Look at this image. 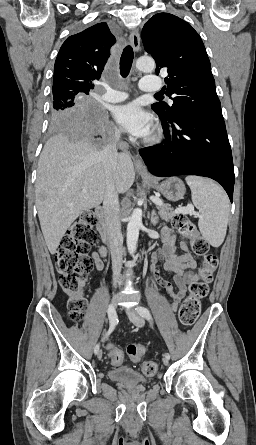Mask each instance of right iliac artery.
Wrapping results in <instances>:
<instances>
[{"label":"right iliac artery","mask_w":256,"mask_h":445,"mask_svg":"<svg viewBox=\"0 0 256 445\" xmlns=\"http://www.w3.org/2000/svg\"><path fill=\"white\" fill-rule=\"evenodd\" d=\"M108 317H109V320H110V327H109V330L106 332L104 337H108L112 333V331L114 330V328H115V326H116V324L118 322L116 313H115V311L112 310V308L110 306L108 308ZM94 352H95V354H97L99 352V344H97L95 346Z\"/></svg>","instance_id":"obj_1"}]
</instances>
